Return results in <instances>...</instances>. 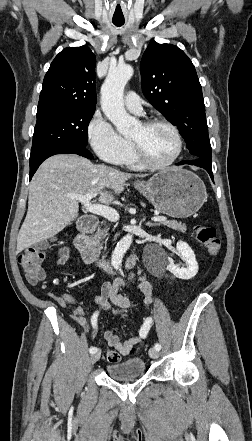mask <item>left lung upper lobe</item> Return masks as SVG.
Listing matches in <instances>:
<instances>
[{
	"label": "left lung upper lobe",
	"mask_w": 252,
	"mask_h": 441,
	"mask_svg": "<svg viewBox=\"0 0 252 441\" xmlns=\"http://www.w3.org/2000/svg\"><path fill=\"white\" fill-rule=\"evenodd\" d=\"M140 71L147 100L178 127L192 155L211 159L202 89L191 60L177 46L153 41Z\"/></svg>",
	"instance_id": "1"
}]
</instances>
